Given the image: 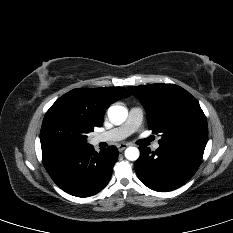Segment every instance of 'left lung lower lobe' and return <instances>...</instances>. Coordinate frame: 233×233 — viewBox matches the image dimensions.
<instances>
[{
  "instance_id": "left-lung-lower-lobe-1",
  "label": "left lung lower lobe",
  "mask_w": 233,
  "mask_h": 233,
  "mask_svg": "<svg viewBox=\"0 0 233 233\" xmlns=\"http://www.w3.org/2000/svg\"><path fill=\"white\" fill-rule=\"evenodd\" d=\"M205 146L199 143H176L160 145L155 152L147 147H139L136 173L152 190L166 192L177 189L197 171Z\"/></svg>"
}]
</instances>
